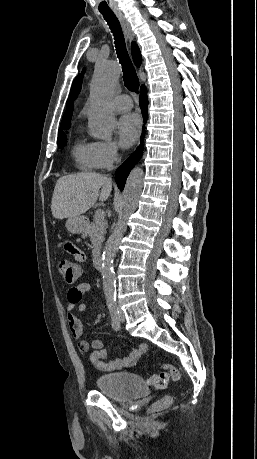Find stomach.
<instances>
[{
	"mask_svg": "<svg viewBox=\"0 0 257 459\" xmlns=\"http://www.w3.org/2000/svg\"><path fill=\"white\" fill-rule=\"evenodd\" d=\"M87 225L86 218L84 216L70 217L66 221V228L72 234H80L84 231Z\"/></svg>",
	"mask_w": 257,
	"mask_h": 459,
	"instance_id": "stomach-1",
	"label": "stomach"
}]
</instances>
